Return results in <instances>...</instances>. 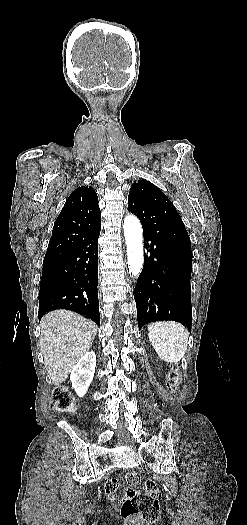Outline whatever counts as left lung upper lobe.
<instances>
[{
    "mask_svg": "<svg viewBox=\"0 0 247 525\" xmlns=\"http://www.w3.org/2000/svg\"><path fill=\"white\" fill-rule=\"evenodd\" d=\"M128 211L139 218L144 231L162 236L192 258L190 239L176 208L151 182L138 180L131 185Z\"/></svg>",
    "mask_w": 247,
    "mask_h": 525,
    "instance_id": "left-lung-upper-lobe-1",
    "label": "left lung upper lobe"
}]
</instances>
